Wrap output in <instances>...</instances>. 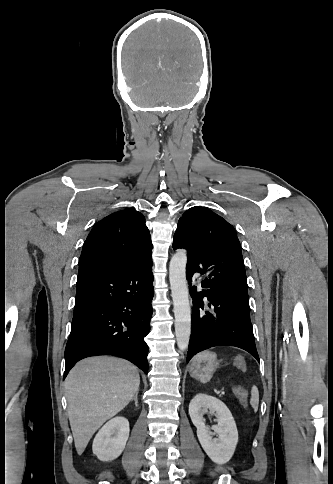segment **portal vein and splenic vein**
<instances>
[{
    "label": "portal vein and splenic vein",
    "instance_id": "portal-vein-and-splenic-vein-1",
    "mask_svg": "<svg viewBox=\"0 0 333 484\" xmlns=\"http://www.w3.org/2000/svg\"><path fill=\"white\" fill-rule=\"evenodd\" d=\"M220 394H221V395H225V391H224V389H220Z\"/></svg>",
    "mask_w": 333,
    "mask_h": 484
}]
</instances>
